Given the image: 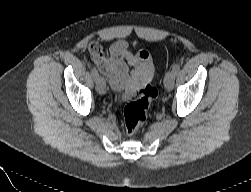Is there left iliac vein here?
I'll return each instance as SVG.
<instances>
[{
	"instance_id": "4c4485c4",
	"label": "left iliac vein",
	"mask_w": 251,
	"mask_h": 192,
	"mask_svg": "<svg viewBox=\"0 0 251 192\" xmlns=\"http://www.w3.org/2000/svg\"><path fill=\"white\" fill-rule=\"evenodd\" d=\"M174 80H175V74L173 73V71L167 72L164 78V86L167 91H171L173 89Z\"/></svg>"
}]
</instances>
